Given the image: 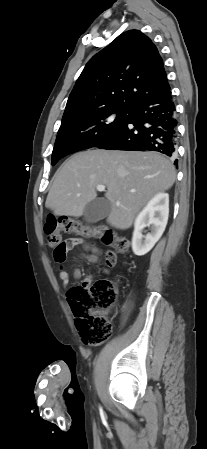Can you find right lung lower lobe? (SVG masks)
Listing matches in <instances>:
<instances>
[{
    "label": "right lung lower lobe",
    "instance_id": "1",
    "mask_svg": "<svg viewBox=\"0 0 207 449\" xmlns=\"http://www.w3.org/2000/svg\"><path fill=\"white\" fill-rule=\"evenodd\" d=\"M177 118L171 91L134 106L124 126L96 147L176 156ZM177 164V159L174 161Z\"/></svg>",
    "mask_w": 207,
    "mask_h": 449
}]
</instances>
